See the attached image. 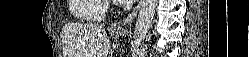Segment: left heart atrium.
I'll use <instances>...</instances> for the list:
<instances>
[{
    "label": "left heart atrium",
    "instance_id": "left-heart-atrium-1",
    "mask_svg": "<svg viewBox=\"0 0 249 57\" xmlns=\"http://www.w3.org/2000/svg\"><path fill=\"white\" fill-rule=\"evenodd\" d=\"M116 2L119 4H128V3H131L132 0H116Z\"/></svg>",
    "mask_w": 249,
    "mask_h": 57
}]
</instances>
